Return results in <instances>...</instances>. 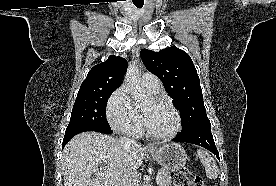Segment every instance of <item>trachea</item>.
<instances>
[{
    "instance_id": "obj_1",
    "label": "trachea",
    "mask_w": 276,
    "mask_h": 186,
    "mask_svg": "<svg viewBox=\"0 0 276 186\" xmlns=\"http://www.w3.org/2000/svg\"><path fill=\"white\" fill-rule=\"evenodd\" d=\"M133 3L137 8H142L143 5H144V2H135V1H133Z\"/></svg>"
}]
</instances>
